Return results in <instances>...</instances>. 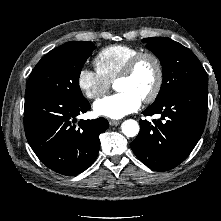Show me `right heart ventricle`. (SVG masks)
<instances>
[{
    "mask_svg": "<svg viewBox=\"0 0 221 221\" xmlns=\"http://www.w3.org/2000/svg\"><path fill=\"white\" fill-rule=\"evenodd\" d=\"M139 52V48L125 44L110 45L96 55L94 63L97 71L109 82H113L127 61Z\"/></svg>",
    "mask_w": 221,
    "mask_h": 221,
    "instance_id": "right-heart-ventricle-1",
    "label": "right heart ventricle"
}]
</instances>
